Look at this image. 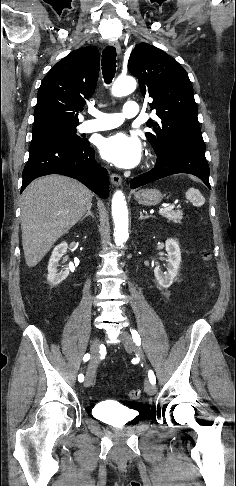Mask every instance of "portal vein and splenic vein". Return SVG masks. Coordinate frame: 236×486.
<instances>
[{
    "instance_id": "1",
    "label": "portal vein and splenic vein",
    "mask_w": 236,
    "mask_h": 486,
    "mask_svg": "<svg viewBox=\"0 0 236 486\" xmlns=\"http://www.w3.org/2000/svg\"><path fill=\"white\" fill-rule=\"evenodd\" d=\"M174 209V205H171V206H167V207H163L159 210V213L160 214H163L165 212H168V211H171Z\"/></svg>"
}]
</instances>
